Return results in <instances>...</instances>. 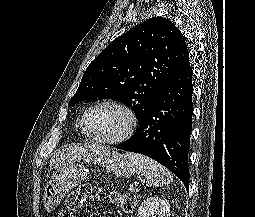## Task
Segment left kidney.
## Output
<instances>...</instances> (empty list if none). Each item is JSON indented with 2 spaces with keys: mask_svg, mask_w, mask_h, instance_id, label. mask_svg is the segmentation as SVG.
<instances>
[{
  "mask_svg": "<svg viewBox=\"0 0 255 217\" xmlns=\"http://www.w3.org/2000/svg\"><path fill=\"white\" fill-rule=\"evenodd\" d=\"M170 205L166 200L147 198L138 209V217H170Z\"/></svg>",
  "mask_w": 255,
  "mask_h": 217,
  "instance_id": "5707ae66",
  "label": "left kidney"
}]
</instances>
